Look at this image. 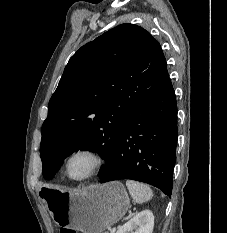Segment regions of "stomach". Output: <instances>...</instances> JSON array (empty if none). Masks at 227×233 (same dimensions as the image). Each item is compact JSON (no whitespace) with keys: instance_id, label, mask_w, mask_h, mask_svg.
I'll return each mask as SVG.
<instances>
[{"instance_id":"0dacf381","label":"stomach","mask_w":227,"mask_h":233,"mask_svg":"<svg viewBox=\"0 0 227 233\" xmlns=\"http://www.w3.org/2000/svg\"><path fill=\"white\" fill-rule=\"evenodd\" d=\"M54 221L65 229L103 233L119 221L130 207L128 193L120 182L92 186L83 191L44 188Z\"/></svg>"}]
</instances>
